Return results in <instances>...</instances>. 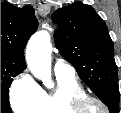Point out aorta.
<instances>
[{"label": "aorta", "instance_id": "obj_1", "mask_svg": "<svg viewBox=\"0 0 121 113\" xmlns=\"http://www.w3.org/2000/svg\"><path fill=\"white\" fill-rule=\"evenodd\" d=\"M51 42L47 31H38L30 38L26 48V60L31 73L45 84L51 77Z\"/></svg>", "mask_w": 121, "mask_h": 113}]
</instances>
